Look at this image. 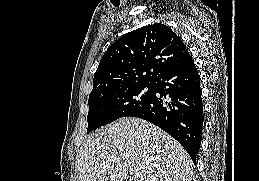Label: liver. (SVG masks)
Wrapping results in <instances>:
<instances>
[{"mask_svg": "<svg viewBox=\"0 0 259 181\" xmlns=\"http://www.w3.org/2000/svg\"><path fill=\"white\" fill-rule=\"evenodd\" d=\"M191 181L193 162L169 134L139 118H121L79 151L77 181Z\"/></svg>", "mask_w": 259, "mask_h": 181, "instance_id": "obj_1", "label": "liver"}]
</instances>
